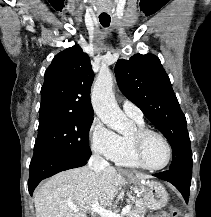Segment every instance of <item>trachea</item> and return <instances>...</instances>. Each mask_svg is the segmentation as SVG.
Listing matches in <instances>:
<instances>
[{"label": "trachea", "instance_id": "obj_1", "mask_svg": "<svg viewBox=\"0 0 211 217\" xmlns=\"http://www.w3.org/2000/svg\"><path fill=\"white\" fill-rule=\"evenodd\" d=\"M99 21L103 27H108L110 25V17H99Z\"/></svg>", "mask_w": 211, "mask_h": 217}]
</instances>
